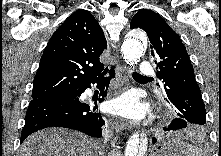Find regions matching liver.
<instances>
[{"label": "liver", "mask_w": 221, "mask_h": 156, "mask_svg": "<svg viewBox=\"0 0 221 156\" xmlns=\"http://www.w3.org/2000/svg\"><path fill=\"white\" fill-rule=\"evenodd\" d=\"M96 142L86 135L63 128H48L27 137L20 156H97Z\"/></svg>", "instance_id": "1"}]
</instances>
